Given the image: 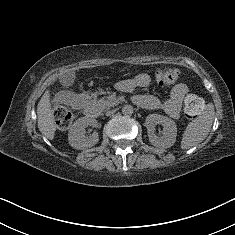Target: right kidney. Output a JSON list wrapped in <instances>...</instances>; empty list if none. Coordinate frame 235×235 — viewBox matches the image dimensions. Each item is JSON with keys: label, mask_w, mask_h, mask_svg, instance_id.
<instances>
[{"label": "right kidney", "mask_w": 235, "mask_h": 235, "mask_svg": "<svg viewBox=\"0 0 235 235\" xmlns=\"http://www.w3.org/2000/svg\"><path fill=\"white\" fill-rule=\"evenodd\" d=\"M86 122L83 119H78L68 134L69 144L76 149L90 148L97 144L99 140L98 133L94 132L87 136L85 133Z\"/></svg>", "instance_id": "ca27d5eb"}]
</instances>
